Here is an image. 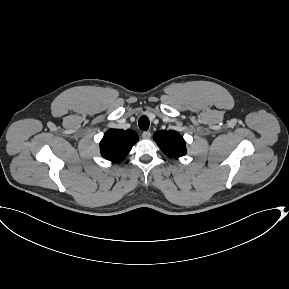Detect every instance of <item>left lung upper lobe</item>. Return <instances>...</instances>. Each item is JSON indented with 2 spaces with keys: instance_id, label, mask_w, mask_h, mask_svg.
<instances>
[{
  "instance_id": "1",
  "label": "left lung upper lobe",
  "mask_w": 289,
  "mask_h": 289,
  "mask_svg": "<svg viewBox=\"0 0 289 289\" xmlns=\"http://www.w3.org/2000/svg\"><path fill=\"white\" fill-rule=\"evenodd\" d=\"M153 139L168 157H181L186 154L185 141L176 131H158Z\"/></svg>"
}]
</instances>
